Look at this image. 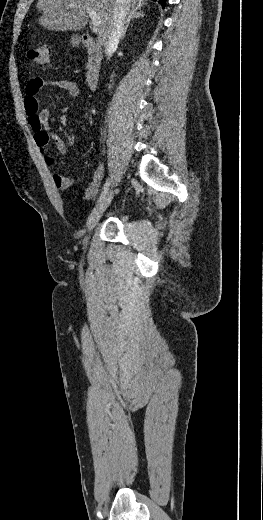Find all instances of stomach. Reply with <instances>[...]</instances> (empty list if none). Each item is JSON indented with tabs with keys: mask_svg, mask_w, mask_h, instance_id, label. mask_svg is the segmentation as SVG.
Masks as SVG:
<instances>
[{
	"mask_svg": "<svg viewBox=\"0 0 263 520\" xmlns=\"http://www.w3.org/2000/svg\"><path fill=\"white\" fill-rule=\"evenodd\" d=\"M79 41L77 38H73V43L77 44Z\"/></svg>",
	"mask_w": 263,
	"mask_h": 520,
	"instance_id": "obj_1",
	"label": "stomach"
}]
</instances>
